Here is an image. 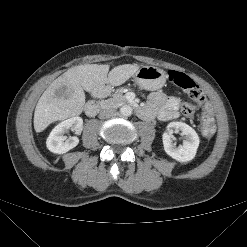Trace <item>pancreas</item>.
Here are the masks:
<instances>
[{
    "label": "pancreas",
    "mask_w": 247,
    "mask_h": 247,
    "mask_svg": "<svg viewBox=\"0 0 247 247\" xmlns=\"http://www.w3.org/2000/svg\"><path fill=\"white\" fill-rule=\"evenodd\" d=\"M127 102L126 97L122 94V91H118L114 94L113 97L102 100L101 106L106 108H117L119 106H122Z\"/></svg>",
    "instance_id": "pancreas-1"
}]
</instances>
